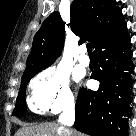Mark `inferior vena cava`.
Masks as SVG:
<instances>
[{"instance_id":"inferior-vena-cava-1","label":"inferior vena cava","mask_w":136,"mask_h":136,"mask_svg":"<svg viewBox=\"0 0 136 136\" xmlns=\"http://www.w3.org/2000/svg\"><path fill=\"white\" fill-rule=\"evenodd\" d=\"M74 121L75 107L74 105H68L59 117V122L62 124L61 129H65L64 126H72Z\"/></svg>"}]
</instances>
